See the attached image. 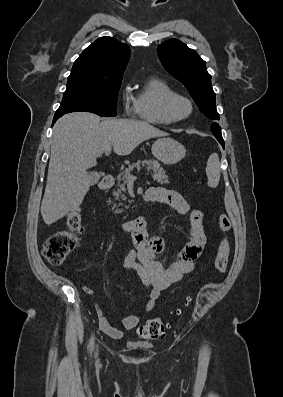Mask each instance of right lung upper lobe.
<instances>
[{
    "mask_svg": "<svg viewBox=\"0 0 283 397\" xmlns=\"http://www.w3.org/2000/svg\"><path fill=\"white\" fill-rule=\"evenodd\" d=\"M130 58L129 47L112 37H101L74 62L71 74L115 80L122 79Z\"/></svg>",
    "mask_w": 283,
    "mask_h": 397,
    "instance_id": "obj_1",
    "label": "right lung upper lobe"
}]
</instances>
